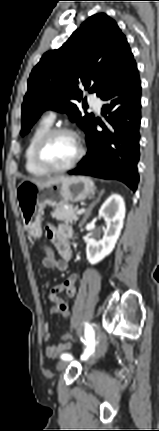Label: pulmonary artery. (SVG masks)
<instances>
[{
  "label": "pulmonary artery",
  "instance_id": "pulmonary-artery-1",
  "mask_svg": "<svg viewBox=\"0 0 159 431\" xmlns=\"http://www.w3.org/2000/svg\"><path fill=\"white\" fill-rule=\"evenodd\" d=\"M88 102L97 112H100L102 103L96 96L89 95L88 96ZM56 115H57L56 112L48 111V112H46L45 119H47L50 122H53L56 118Z\"/></svg>",
  "mask_w": 159,
  "mask_h": 431
}]
</instances>
